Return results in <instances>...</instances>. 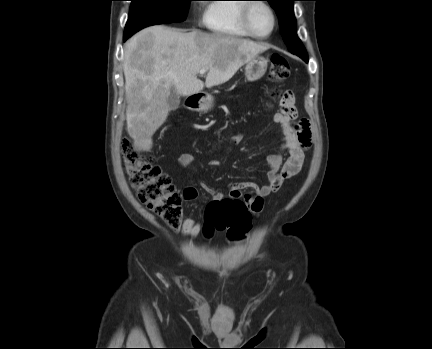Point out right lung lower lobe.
<instances>
[{
    "label": "right lung lower lobe",
    "mask_w": 432,
    "mask_h": 349,
    "mask_svg": "<svg viewBox=\"0 0 432 349\" xmlns=\"http://www.w3.org/2000/svg\"><path fill=\"white\" fill-rule=\"evenodd\" d=\"M130 36H128V35H124V38H123V40L125 41L127 38H129Z\"/></svg>",
    "instance_id": "98d812e1"
}]
</instances>
